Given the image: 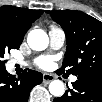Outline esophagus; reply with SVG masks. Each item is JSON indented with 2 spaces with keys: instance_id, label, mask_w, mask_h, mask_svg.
<instances>
[{
  "instance_id": "obj_1",
  "label": "esophagus",
  "mask_w": 102,
  "mask_h": 102,
  "mask_svg": "<svg viewBox=\"0 0 102 102\" xmlns=\"http://www.w3.org/2000/svg\"><path fill=\"white\" fill-rule=\"evenodd\" d=\"M54 79H55V76L52 74H48V73L43 74V83L44 84H48Z\"/></svg>"
}]
</instances>
